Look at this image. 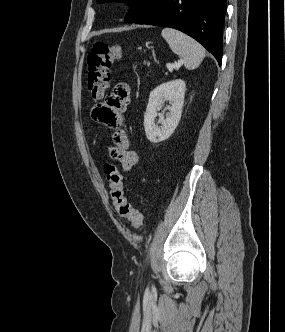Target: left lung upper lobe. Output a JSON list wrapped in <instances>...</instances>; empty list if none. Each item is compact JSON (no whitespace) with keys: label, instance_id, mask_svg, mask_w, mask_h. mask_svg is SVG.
Wrapping results in <instances>:
<instances>
[{"label":"left lung upper lobe","instance_id":"1","mask_svg":"<svg viewBox=\"0 0 285 332\" xmlns=\"http://www.w3.org/2000/svg\"><path fill=\"white\" fill-rule=\"evenodd\" d=\"M98 3L109 2L113 0H97ZM127 1L130 5V10L125 18V22H135L145 13H147L158 0H117Z\"/></svg>","mask_w":285,"mask_h":332}]
</instances>
